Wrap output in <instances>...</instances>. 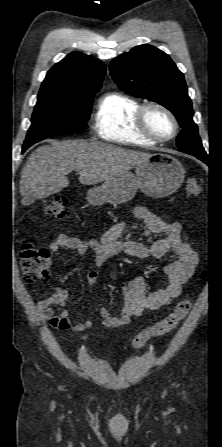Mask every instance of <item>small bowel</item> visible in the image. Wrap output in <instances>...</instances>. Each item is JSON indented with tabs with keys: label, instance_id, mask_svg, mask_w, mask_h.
I'll use <instances>...</instances> for the list:
<instances>
[{
	"label": "small bowel",
	"instance_id": "small-bowel-1",
	"mask_svg": "<svg viewBox=\"0 0 222 447\" xmlns=\"http://www.w3.org/2000/svg\"><path fill=\"white\" fill-rule=\"evenodd\" d=\"M133 216L146 225V229L141 231L143 236L159 233L163 237L150 245L132 240L122 241L121 235L126 223L119 221L98 239L83 240L72 235L60 234L49 245L52 253L70 249L82 254L90 249L95 253L97 268H101L119 254L140 259H160L168 252L173 253L174 259L163 268L168 280L166 287L147 293L145 279L135 276L123 285L124 306L119 316H111L104 307L99 309L102 325L106 328L124 326L144 311H155L168 306L181 294L183 286L192 277L198 262L197 253L189 241L183 221L157 215L143 206L134 208ZM97 279L98 270L89 269L86 273L88 284L95 287ZM69 297L70 292L58 286L53 294L38 301L36 306L50 326L57 330L80 333L92 328L94 323L91 320L76 323L71 321L70 313L66 309Z\"/></svg>",
	"mask_w": 222,
	"mask_h": 447
}]
</instances>
